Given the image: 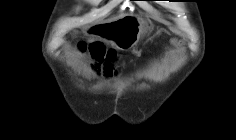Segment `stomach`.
Wrapping results in <instances>:
<instances>
[{
    "mask_svg": "<svg viewBox=\"0 0 236 140\" xmlns=\"http://www.w3.org/2000/svg\"><path fill=\"white\" fill-rule=\"evenodd\" d=\"M152 25L143 19L126 16L117 22H100L99 25H91V30L111 31H90V36H104L106 44H113V41L122 49L132 48L142 36L150 32ZM98 40V37H94ZM102 40V37H99Z\"/></svg>",
    "mask_w": 236,
    "mask_h": 140,
    "instance_id": "obj_1",
    "label": "stomach"
}]
</instances>
